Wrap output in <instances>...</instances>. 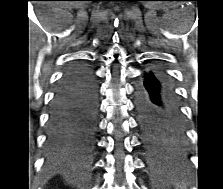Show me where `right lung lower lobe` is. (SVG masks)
I'll return each instance as SVG.
<instances>
[{"mask_svg":"<svg viewBox=\"0 0 223 189\" xmlns=\"http://www.w3.org/2000/svg\"><path fill=\"white\" fill-rule=\"evenodd\" d=\"M97 83L90 66L71 65L56 88L47 126L48 149L57 154L83 153L97 123Z\"/></svg>","mask_w":223,"mask_h":189,"instance_id":"98d812e1","label":"right lung lower lobe"}]
</instances>
